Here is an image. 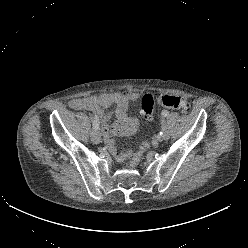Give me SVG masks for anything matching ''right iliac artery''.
<instances>
[{
  "mask_svg": "<svg viewBox=\"0 0 248 248\" xmlns=\"http://www.w3.org/2000/svg\"><path fill=\"white\" fill-rule=\"evenodd\" d=\"M98 128H99V119L97 118L96 115H94V117H93V129L98 130Z\"/></svg>",
  "mask_w": 248,
  "mask_h": 248,
  "instance_id": "obj_1",
  "label": "right iliac artery"
}]
</instances>
